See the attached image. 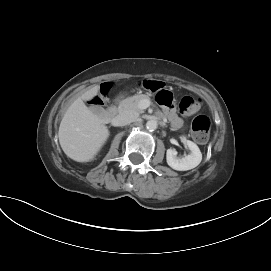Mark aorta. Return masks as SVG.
<instances>
[{
    "mask_svg": "<svg viewBox=\"0 0 271 271\" xmlns=\"http://www.w3.org/2000/svg\"><path fill=\"white\" fill-rule=\"evenodd\" d=\"M158 127L157 121L156 120H149L146 123V128L150 131L156 130Z\"/></svg>",
    "mask_w": 271,
    "mask_h": 271,
    "instance_id": "762f6f07",
    "label": "aorta"
}]
</instances>
